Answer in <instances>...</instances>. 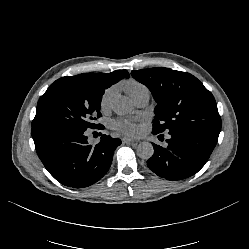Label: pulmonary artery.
I'll list each match as a JSON object with an SVG mask.
<instances>
[{"mask_svg": "<svg viewBox=\"0 0 249 249\" xmlns=\"http://www.w3.org/2000/svg\"><path fill=\"white\" fill-rule=\"evenodd\" d=\"M150 99V94H142L134 99L135 104L138 107H145Z\"/></svg>", "mask_w": 249, "mask_h": 249, "instance_id": "obj_1", "label": "pulmonary artery"}]
</instances>
